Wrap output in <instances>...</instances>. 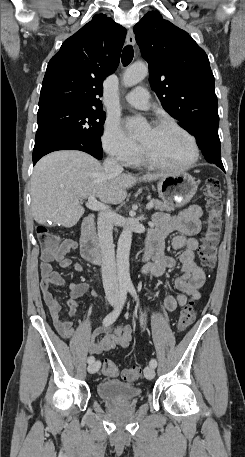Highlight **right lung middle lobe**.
Instances as JSON below:
<instances>
[{
  "label": "right lung middle lobe",
  "instance_id": "obj_1",
  "mask_svg": "<svg viewBox=\"0 0 245 457\" xmlns=\"http://www.w3.org/2000/svg\"><path fill=\"white\" fill-rule=\"evenodd\" d=\"M105 121L102 107L90 104H62L38 112L35 146L51 140H68L82 144L94 157L102 158L101 134Z\"/></svg>",
  "mask_w": 245,
  "mask_h": 457
}]
</instances>
